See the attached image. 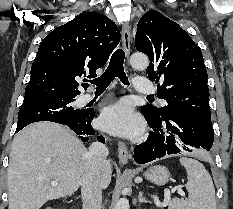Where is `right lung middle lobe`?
I'll use <instances>...</instances> for the list:
<instances>
[{"label":"right lung middle lobe","instance_id":"1","mask_svg":"<svg viewBox=\"0 0 233 209\" xmlns=\"http://www.w3.org/2000/svg\"><path fill=\"white\" fill-rule=\"evenodd\" d=\"M74 101V98H54L23 103L18 113L17 126H27L38 121L60 124L73 122L84 114V110H77L71 106Z\"/></svg>","mask_w":233,"mask_h":209}]
</instances>
